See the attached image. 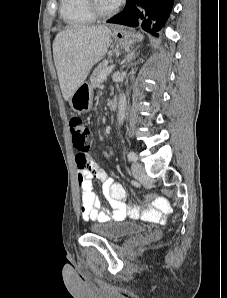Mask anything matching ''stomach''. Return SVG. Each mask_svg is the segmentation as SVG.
I'll return each mask as SVG.
<instances>
[{"label":"stomach","mask_w":227,"mask_h":298,"mask_svg":"<svg viewBox=\"0 0 227 298\" xmlns=\"http://www.w3.org/2000/svg\"><path fill=\"white\" fill-rule=\"evenodd\" d=\"M113 41L122 47H130L138 38V35L122 27H117L111 32ZM93 103V88L88 82H83L73 93L69 100L71 108L78 114L87 113Z\"/></svg>","instance_id":"obj_1"}]
</instances>
